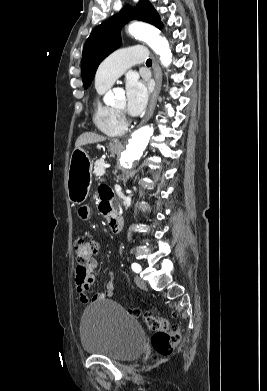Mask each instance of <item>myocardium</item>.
Instances as JSON below:
<instances>
[{
	"instance_id": "myocardium-1",
	"label": "myocardium",
	"mask_w": 267,
	"mask_h": 391,
	"mask_svg": "<svg viewBox=\"0 0 267 391\" xmlns=\"http://www.w3.org/2000/svg\"><path fill=\"white\" fill-rule=\"evenodd\" d=\"M117 117L123 122L125 121V114L122 109L112 108Z\"/></svg>"
}]
</instances>
